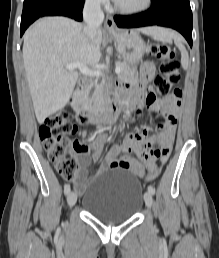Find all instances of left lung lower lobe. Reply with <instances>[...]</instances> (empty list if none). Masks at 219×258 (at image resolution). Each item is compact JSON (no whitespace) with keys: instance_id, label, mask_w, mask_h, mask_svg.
<instances>
[{"instance_id":"obj_1","label":"left lung lower lobe","mask_w":219,"mask_h":258,"mask_svg":"<svg viewBox=\"0 0 219 258\" xmlns=\"http://www.w3.org/2000/svg\"><path fill=\"white\" fill-rule=\"evenodd\" d=\"M120 28L159 25L179 31L192 47V11L189 0H152L151 8L131 16H115Z\"/></svg>"}]
</instances>
